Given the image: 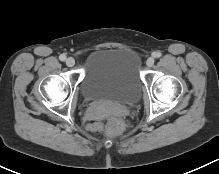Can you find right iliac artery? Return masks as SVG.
Here are the masks:
<instances>
[{"mask_svg":"<svg viewBox=\"0 0 219 174\" xmlns=\"http://www.w3.org/2000/svg\"><path fill=\"white\" fill-rule=\"evenodd\" d=\"M59 59H60L61 61H65L66 55H65V54H61V55L59 56Z\"/></svg>","mask_w":219,"mask_h":174,"instance_id":"right-iliac-artery-1","label":"right iliac artery"}]
</instances>
